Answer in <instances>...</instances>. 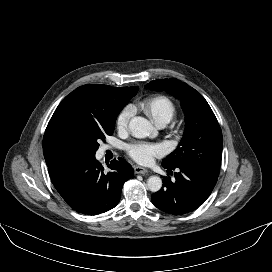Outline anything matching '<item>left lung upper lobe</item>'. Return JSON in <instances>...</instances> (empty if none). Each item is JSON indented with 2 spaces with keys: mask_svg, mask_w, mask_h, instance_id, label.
Returning <instances> with one entry per match:
<instances>
[{
  "mask_svg": "<svg viewBox=\"0 0 272 272\" xmlns=\"http://www.w3.org/2000/svg\"><path fill=\"white\" fill-rule=\"evenodd\" d=\"M166 91L181 102L185 113L184 137L162 164L174 167L187 164L219 175L223 138L218 121L207 101L194 88L178 79H158L145 86Z\"/></svg>",
  "mask_w": 272,
  "mask_h": 272,
  "instance_id": "5c2ea615",
  "label": "left lung upper lobe"
}]
</instances>
